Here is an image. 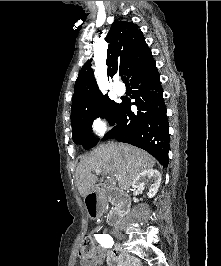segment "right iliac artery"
Here are the masks:
<instances>
[{
	"label": "right iliac artery",
	"instance_id": "82829eb1",
	"mask_svg": "<svg viewBox=\"0 0 221 266\" xmlns=\"http://www.w3.org/2000/svg\"><path fill=\"white\" fill-rule=\"evenodd\" d=\"M96 239L101 246L106 248H111L114 244L113 238L108 234H100Z\"/></svg>",
	"mask_w": 221,
	"mask_h": 266
}]
</instances>
